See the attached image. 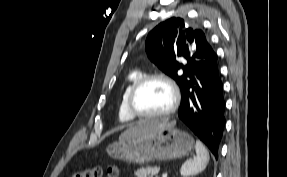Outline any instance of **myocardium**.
Masks as SVG:
<instances>
[{
  "mask_svg": "<svg viewBox=\"0 0 287 177\" xmlns=\"http://www.w3.org/2000/svg\"><path fill=\"white\" fill-rule=\"evenodd\" d=\"M153 80H159L165 83L168 88L170 89L171 96H172V103L170 107L162 112V113H157V114H145L141 113L137 110L135 106V98L139 90L148 82L153 81ZM180 104V91L179 88L177 87L176 83L167 75L162 74V73H152V74H147L142 76L133 86L131 89L128 99H127V106L130 111V113L141 119H161L165 118L171 114H173L177 108L179 107Z\"/></svg>",
  "mask_w": 287,
  "mask_h": 177,
  "instance_id": "f54148a6",
  "label": "myocardium"
}]
</instances>
